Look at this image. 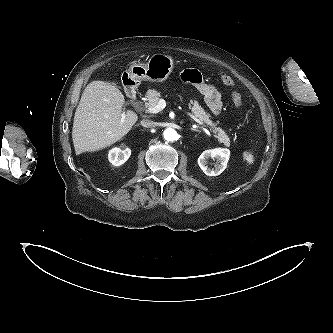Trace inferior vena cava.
I'll use <instances>...</instances> for the list:
<instances>
[{
	"instance_id": "inferior-vena-cava-1",
	"label": "inferior vena cava",
	"mask_w": 333,
	"mask_h": 333,
	"mask_svg": "<svg viewBox=\"0 0 333 333\" xmlns=\"http://www.w3.org/2000/svg\"><path fill=\"white\" fill-rule=\"evenodd\" d=\"M141 125L145 128H152V127H155V122L148 120V119H143L141 121Z\"/></svg>"
}]
</instances>
